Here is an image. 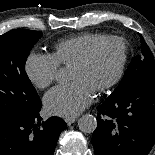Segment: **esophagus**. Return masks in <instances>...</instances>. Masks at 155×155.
<instances>
[{"label":"esophagus","mask_w":155,"mask_h":155,"mask_svg":"<svg viewBox=\"0 0 155 155\" xmlns=\"http://www.w3.org/2000/svg\"><path fill=\"white\" fill-rule=\"evenodd\" d=\"M76 121L75 117H67L65 118V122L67 123V125H71Z\"/></svg>","instance_id":"1"}]
</instances>
